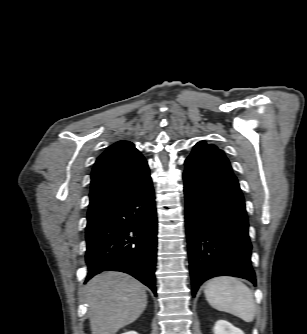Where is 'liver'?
I'll return each mask as SVG.
<instances>
[{"label": "liver", "instance_id": "obj_1", "mask_svg": "<svg viewBox=\"0 0 307 334\" xmlns=\"http://www.w3.org/2000/svg\"><path fill=\"white\" fill-rule=\"evenodd\" d=\"M84 293L92 334H115L134 322L147 305L144 286L120 272H104L93 277Z\"/></svg>", "mask_w": 307, "mask_h": 334}]
</instances>
